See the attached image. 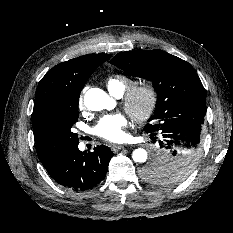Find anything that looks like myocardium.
<instances>
[{"instance_id": "f54148a6", "label": "myocardium", "mask_w": 233, "mask_h": 233, "mask_svg": "<svg viewBox=\"0 0 233 233\" xmlns=\"http://www.w3.org/2000/svg\"><path fill=\"white\" fill-rule=\"evenodd\" d=\"M158 102V90L151 82L131 85L122 96L124 109L137 123L149 121L157 110Z\"/></svg>"}]
</instances>
